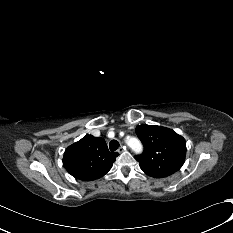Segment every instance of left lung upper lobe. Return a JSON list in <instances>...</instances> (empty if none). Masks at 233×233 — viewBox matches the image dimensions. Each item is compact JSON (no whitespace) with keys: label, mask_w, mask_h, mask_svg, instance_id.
Wrapping results in <instances>:
<instances>
[{"label":"left lung upper lobe","mask_w":233,"mask_h":233,"mask_svg":"<svg viewBox=\"0 0 233 233\" xmlns=\"http://www.w3.org/2000/svg\"><path fill=\"white\" fill-rule=\"evenodd\" d=\"M136 134L144 145V152L135 156L144 173L153 178H163L177 172L185 161V140L173 130L140 125Z\"/></svg>","instance_id":"1"}]
</instances>
